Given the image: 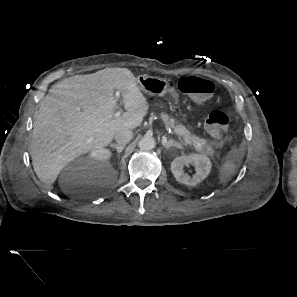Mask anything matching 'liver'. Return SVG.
I'll list each match as a JSON object with an SVG mask.
<instances>
[{"label": "liver", "mask_w": 297, "mask_h": 297, "mask_svg": "<svg viewBox=\"0 0 297 297\" xmlns=\"http://www.w3.org/2000/svg\"><path fill=\"white\" fill-rule=\"evenodd\" d=\"M115 89L122 93L127 110L120 117L114 116ZM140 90L126 68H106L55 84L42 101L33 125L30 153L40 181L52 189L68 163L106 147L117 132L138 127L149 109Z\"/></svg>", "instance_id": "obj_1"}]
</instances>
